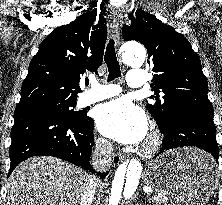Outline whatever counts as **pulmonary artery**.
<instances>
[{"instance_id": "e3ab8cb5", "label": "pulmonary artery", "mask_w": 222, "mask_h": 205, "mask_svg": "<svg viewBox=\"0 0 222 205\" xmlns=\"http://www.w3.org/2000/svg\"><path fill=\"white\" fill-rule=\"evenodd\" d=\"M146 82L145 71L141 69H130L128 72L127 84L130 87H142ZM121 88L114 84L92 83V89L87 91L82 99L83 105L99 102L121 92Z\"/></svg>"}]
</instances>
